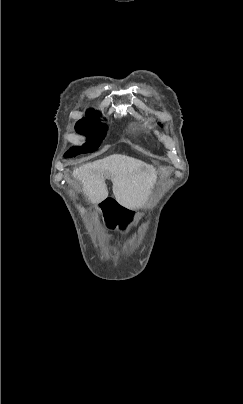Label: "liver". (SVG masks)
Listing matches in <instances>:
<instances>
[{"instance_id":"obj_1","label":"liver","mask_w":243,"mask_h":404,"mask_svg":"<svg viewBox=\"0 0 243 404\" xmlns=\"http://www.w3.org/2000/svg\"><path fill=\"white\" fill-rule=\"evenodd\" d=\"M73 176L82 182L83 194H86L91 204L106 200L108 190L105 176H110L118 204L129 210L145 206L157 180L154 166L121 154L75 168Z\"/></svg>"}]
</instances>
